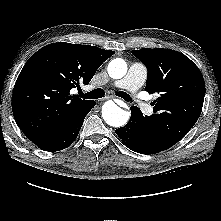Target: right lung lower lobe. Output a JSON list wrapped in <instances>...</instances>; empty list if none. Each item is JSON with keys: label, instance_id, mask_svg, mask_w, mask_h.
<instances>
[{"label": "right lung lower lobe", "instance_id": "obj_1", "mask_svg": "<svg viewBox=\"0 0 221 221\" xmlns=\"http://www.w3.org/2000/svg\"><path fill=\"white\" fill-rule=\"evenodd\" d=\"M95 104L96 102L93 101L81 116H79L62 130L42 140L36 145L44 151L52 152L67 148L76 139L86 115L91 111Z\"/></svg>", "mask_w": 221, "mask_h": 221}]
</instances>
